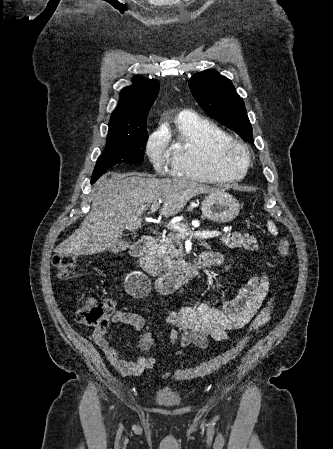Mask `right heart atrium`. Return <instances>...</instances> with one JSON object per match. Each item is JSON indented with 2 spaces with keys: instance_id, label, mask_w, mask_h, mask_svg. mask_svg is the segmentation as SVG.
I'll use <instances>...</instances> for the list:
<instances>
[{
  "instance_id": "1",
  "label": "right heart atrium",
  "mask_w": 333,
  "mask_h": 449,
  "mask_svg": "<svg viewBox=\"0 0 333 449\" xmlns=\"http://www.w3.org/2000/svg\"><path fill=\"white\" fill-rule=\"evenodd\" d=\"M145 151L155 170L165 173L172 163L166 138L160 133L151 134L146 142Z\"/></svg>"
}]
</instances>
